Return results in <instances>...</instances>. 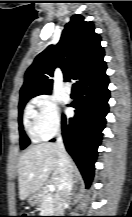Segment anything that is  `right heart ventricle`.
I'll use <instances>...</instances> for the list:
<instances>
[{
	"mask_svg": "<svg viewBox=\"0 0 132 217\" xmlns=\"http://www.w3.org/2000/svg\"><path fill=\"white\" fill-rule=\"evenodd\" d=\"M24 125L27 132L33 136L38 137L37 128H36V114L31 107L27 108Z\"/></svg>",
	"mask_w": 132,
	"mask_h": 217,
	"instance_id": "1",
	"label": "right heart ventricle"
}]
</instances>
